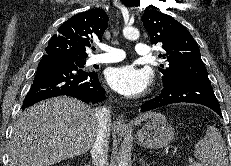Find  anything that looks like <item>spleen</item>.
<instances>
[{
  "instance_id": "1",
  "label": "spleen",
  "mask_w": 231,
  "mask_h": 166,
  "mask_svg": "<svg viewBox=\"0 0 231 166\" xmlns=\"http://www.w3.org/2000/svg\"><path fill=\"white\" fill-rule=\"evenodd\" d=\"M194 155L199 166H229L225 142L214 126H208L205 137L196 143Z\"/></svg>"
}]
</instances>
